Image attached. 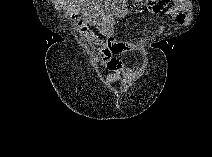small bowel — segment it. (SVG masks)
<instances>
[{
  "mask_svg": "<svg viewBox=\"0 0 212 157\" xmlns=\"http://www.w3.org/2000/svg\"><path fill=\"white\" fill-rule=\"evenodd\" d=\"M170 1H152L149 10L153 14H160L165 11L170 20L179 25H184L188 18L187 2L175 0L169 7ZM54 4L70 15L81 34L98 44L102 56L100 63L109 71L105 78L106 84L119 81L126 84L135 76V70L126 67L124 61L118 56L133 50L136 44L119 41L115 37V20L125 17L128 13L126 0H60ZM132 7L140 11L144 8V3L135 0ZM91 28H95L101 34L103 40L94 34Z\"/></svg>",
  "mask_w": 212,
  "mask_h": 157,
  "instance_id": "1",
  "label": "small bowel"
}]
</instances>
